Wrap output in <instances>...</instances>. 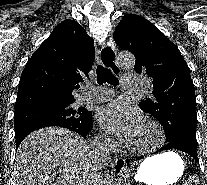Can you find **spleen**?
<instances>
[{
  "label": "spleen",
  "mask_w": 207,
  "mask_h": 185,
  "mask_svg": "<svg viewBox=\"0 0 207 185\" xmlns=\"http://www.w3.org/2000/svg\"><path fill=\"white\" fill-rule=\"evenodd\" d=\"M196 178H191V182H186V185H195Z\"/></svg>",
  "instance_id": "spleen-1"
}]
</instances>
